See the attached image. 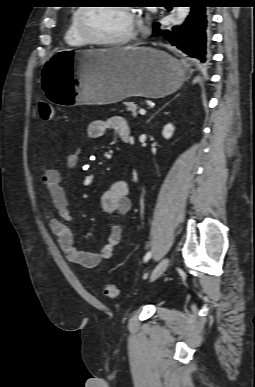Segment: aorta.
<instances>
[{"instance_id": "1", "label": "aorta", "mask_w": 255, "mask_h": 387, "mask_svg": "<svg viewBox=\"0 0 255 387\" xmlns=\"http://www.w3.org/2000/svg\"><path fill=\"white\" fill-rule=\"evenodd\" d=\"M190 13V7H177L176 9V24H181Z\"/></svg>"}]
</instances>
